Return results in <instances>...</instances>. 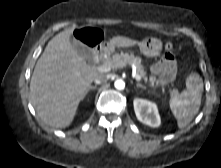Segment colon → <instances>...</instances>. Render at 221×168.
I'll return each mask as SVG.
<instances>
[{
    "instance_id": "obj_1",
    "label": "colon",
    "mask_w": 221,
    "mask_h": 168,
    "mask_svg": "<svg viewBox=\"0 0 221 168\" xmlns=\"http://www.w3.org/2000/svg\"><path fill=\"white\" fill-rule=\"evenodd\" d=\"M100 36H101L100 31L92 28L81 30L77 35L80 41L90 45L97 42ZM165 49L168 53H171L173 49V44L171 42L165 43ZM179 94H180V89L178 87H173L172 92L170 93L169 96L171 99L174 100L178 97Z\"/></svg>"
}]
</instances>
